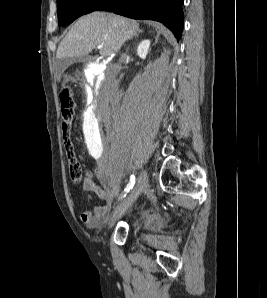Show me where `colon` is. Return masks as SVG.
Returning a JSON list of instances; mask_svg holds the SVG:
<instances>
[{
    "label": "colon",
    "instance_id": "colon-1",
    "mask_svg": "<svg viewBox=\"0 0 267 298\" xmlns=\"http://www.w3.org/2000/svg\"><path fill=\"white\" fill-rule=\"evenodd\" d=\"M61 110L64 118V123L62 127L63 132V144L64 149L68 161L69 175L70 179L73 183L78 184L83 179V169L81 163L77 159L75 152L73 150V146L69 136L68 122L72 118L74 111V103L72 99V95L68 88H65L61 94Z\"/></svg>",
    "mask_w": 267,
    "mask_h": 298
}]
</instances>
